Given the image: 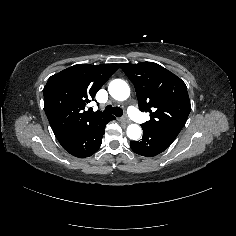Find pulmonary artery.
I'll use <instances>...</instances> for the list:
<instances>
[{"mask_svg": "<svg viewBox=\"0 0 236 236\" xmlns=\"http://www.w3.org/2000/svg\"><path fill=\"white\" fill-rule=\"evenodd\" d=\"M127 112L132 117L133 121L140 125H144L148 121L147 116L142 114L134 105L129 106Z\"/></svg>", "mask_w": 236, "mask_h": 236, "instance_id": "pulmonary-artery-1", "label": "pulmonary artery"}]
</instances>
